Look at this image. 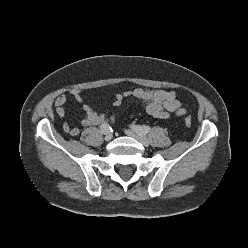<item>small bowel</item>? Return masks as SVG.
I'll list each match as a JSON object with an SVG mask.
<instances>
[{
	"label": "small bowel",
	"mask_w": 248,
	"mask_h": 248,
	"mask_svg": "<svg viewBox=\"0 0 248 248\" xmlns=\"http://www.w3.org/2000/svg\"><path fill=\"white\" fill-rule=\"evenodd\" d=\"M135 98L144 104L147 114L159 119H169L171 114L182 116L186 114L187 109L177 99L175 90H153L145 88H136L133 90L117 93L113 99V106L119 107L126 98ZM69 99H73L78 103L83 102V93L79 89H71L68 95H60L55 99L54 106L59 118H63L66 114L65 106ZM84 116L81 120L83 126H97L103 123L113 122L114 115L112 113H99L88 104H82ZM63 131L70 136H78L79 128L64 123Z\"/></svg>",
	"instance_id": "obj_1"
}]
</instances>
